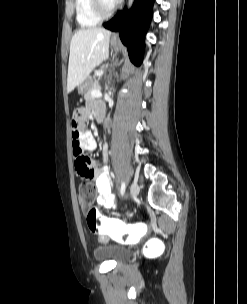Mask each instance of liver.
Returning <instances> with one entry per match:
<instances>
[{
  "label": "liver",
  "mask_w": 247,
  "mask_h": 304,
  "mask_svg": "<svg viewBox=\"0 0 247 304\" xmlns=\"http://www.w3.org/2000/svg\"><path fill=\"white\" fill-rule=\"evenodd\" d=\"M110 35V31L97 27L75 32L70 44L68 92L81 85L96 67L108 59Z\"/></svg>",
  "instance_id": "obj_1"
}]
</instances>
